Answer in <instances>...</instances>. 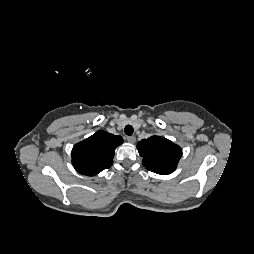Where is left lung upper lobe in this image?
<instances>
[{"mask_svg":"<svg viewBox=\"0 0 254 254\" xmlns=\"http://www.w3.org/2000/svg\"><path fill=\"white\" fill-rule=\"evenodd\" d=\"M137 149L143 157V166L162 175L172 173L182 156V150L178 145L156 135L140 141Z\"/></svg>","mask_w":254,"mask_h":254,"instance_id":"left-lung-upper-lobe-1","label":"left lung upper lobe"}]
</instances>
